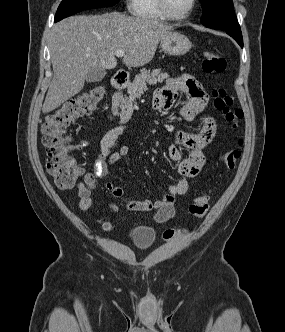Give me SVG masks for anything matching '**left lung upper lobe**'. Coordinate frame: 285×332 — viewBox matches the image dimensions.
Instances as JSON below:
<instances>
[{
	"label": "left lung upper lobe",
	"instance_id": "obj_1",
	"mask_svg": "<svg viewBox=\"0 0 285 332\" xmlns=\"http://www.w3.org/2000/svg\"><path fill=\"white\" fill-rule=\"evenodd\" d=\"M203 16L201 22L212 29L239 30L232 0H200Z\"/></svg>",
	"mask_w": 285,
	"mask_h": 332
}]
</instances>
